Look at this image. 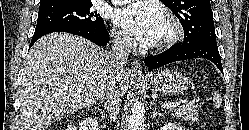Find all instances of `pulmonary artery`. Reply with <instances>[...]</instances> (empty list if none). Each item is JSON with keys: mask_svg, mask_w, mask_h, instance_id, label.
Listing matches in <instances>:
<instances>
[{"mask_svg": "<svg viewBox=\"0 0 249 130\" xmlns=\"http://www.w3.org/2000/svg\"><path fill=\"white\" fill-rule=\"evenodd\" d=\"M114 4H124L132 0H112Z\"/></svg>", "mask_w": 249, "mask_h": 130, "instance_id": "e3ab8cb5", "label": "pulmonary artery"}]
</instances>
